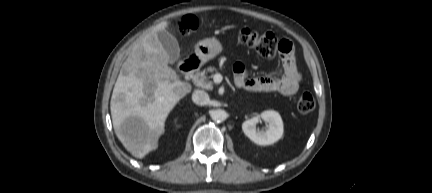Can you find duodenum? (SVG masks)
<instances>
[{
  "mask_svg": "<svg viewBox=\"0 0 432 193\" xmlns=\"http://www.w3.org/2000/svg\"><path fill=\"white\" fill-rule=\"evenodd\" d=\"M199 67H200V61L195 56L185 59L180 64L181 72L187 76L195 75Z\"/></svg>",
  "mask_w": 432,
  "mask_h": 193,
  "instance_id": "obj_1",
  "label": "duodenum"
}]
</instances>
